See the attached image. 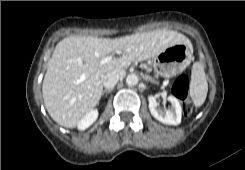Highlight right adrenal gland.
Instances as JSON below:
<instances>
[{"instance_id":"2a0ac1e0","label":"right adrenal gland","mask_w":245,"mask_h":170,"mask_svg":"<svg viewBox=\"0 0 245 170\" xmlns=\"http://www.w3.org/2000/svg\"><path fill=\"white\" fill-rule=\"evenodd\" d=\"M112 90L113 89H105L102 94L104 95L105 93H110Z\"/></svg>"}]
</instances>
